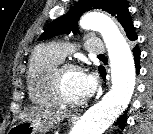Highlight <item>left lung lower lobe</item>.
<instances>
[{"label": "left lung lower lobe", "mask_w": 153, "mask_h": 134, "mask_svg": "<svg viewBox=\"0 0 153 134\" xmlns=\"http://www.w3.org/2000/svg\"><path fill=\"white\" fill-rule=\"evenodd\" d=\"M133 55H134V59H135V66H136V71H137V74L139 73V70H140V49L138 47V45H136L134 48H133ZM103 79L105 78V75H106V72H105V69L103 67H101L99 69ZM126 119H127V116L124 114L122 115L116 122V125H118L120 128H124V125L126 123Z\"/></svg>", "instance_id": "0a47b994"}]
</instances>
